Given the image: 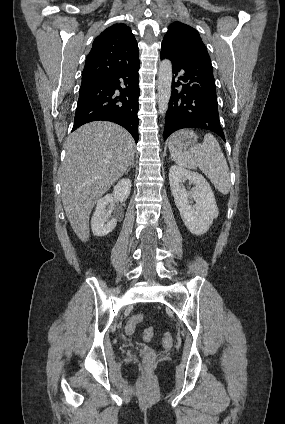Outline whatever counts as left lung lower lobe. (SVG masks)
<instances>
[{
	"instance_id": "1",
	"label": "left lung lower lobe",
	"mask_w": 285,
	"mask_h": 424,
	"mask_svg": "<svg viewBox=\"0 0 285 424\" xmlns=\"http://www.w3.org/2000/svg\"><path fill=\"white\" fill-rule=\"evenodd\" d=\"M160 58L172 62V72L175 74L165 118L164 140L183 128L207 129L225 140L219 121L216 85L210 57L201 53L181 54L162 43ZM180 71L184 74L177 77ZM180 85L182 89H177Z\"/></svg>"
}]
</instances>
